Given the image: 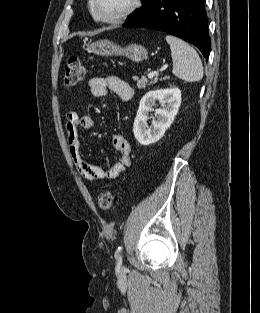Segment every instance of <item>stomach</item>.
Instances as JSON below:
<instances>
[{"instance_id":"obj_1","label":"stomach","mask_w":260,"mask_h":313,"mask_svg":"<svg viewBox=\"0 0 260 313\" xmlns=\"http://www.w3.org/2000/svg\"><path fill=\"white\" fill-rule=\"evenodd\" d=\"M86 50L100 56L123 55L134 62H140L148 58V51L142 45L130 44L121 47L107 39L86 44Z\"/></svg>"}]
</instances>
